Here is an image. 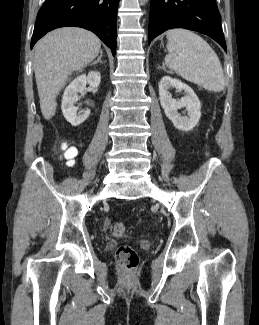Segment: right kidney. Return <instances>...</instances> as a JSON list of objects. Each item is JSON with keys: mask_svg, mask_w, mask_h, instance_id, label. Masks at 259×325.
I'll return each instance as SVG.
<instances>
[{"mask_svg": "<svg viewBox=\"0 0 259 325\" xmlns=\"http://www.w3.org/2000/svg\"><path fill=\"white\" fill-rule=\"evenodd\" d=\"M101 74L97 71H91L88 75H80L75 78L65 89L62 97L61 109L65 119L72 125L78 126L82 124L90 114V110L86 109L77 114L75 103L78 101L79 93H83L88 83L91 87H99Z\"/></svg>", "mask_w": 259, "mask_h": 325, "instance_id": "ca27d5eb", "label": "right kidney"}]
</instances>
